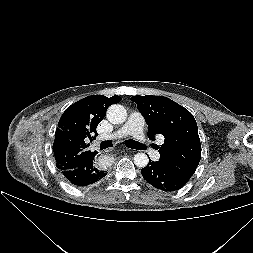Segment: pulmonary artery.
Masks as SVG:
<instances>
[{
	"label": "pulmonary artery",
	"mask_w": 253,
	"mask_h": 253,
	"mask_svg": "<svg viewBox=\"0 0 253 253\" xmlns=\"http://www.w3.org/2000/svg\"><path fill=\"white\" fill-rule=\"evenodd\" d=\"M127 135H132L139 141H145L144 118L140 113L132 112L127 122L121 128L111 134L101 136V139H116ZM144 148L153 161L159 160L160 154L156 149L145 146Z\"/></svg>",
	"instance_id": "e3ab8cb5"
}]
</instances>
